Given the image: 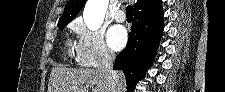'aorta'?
<instances>
[{
	"label": "aorta",
	"mask_w": 225,
	"mask_h": 92,
	"mask_svg": "<svg viewBox=\"0 0 225 92\" xmlns=\"http://www.w3.org/2000/svg\"><path fill=\"white\" fill-rule=\"evenodd\" d=\"M107 7L108 0L87 1L83 11V18L88 29L95 31L101 27Z\"/></svg>",
	"instance_id": "1"
}]
</instances>
